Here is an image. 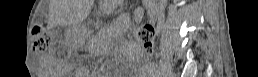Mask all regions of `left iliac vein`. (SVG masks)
I'll list each match as a JSON object with an SVG mask.
<instances>
[{
    "label": "left iliac vein",
    "mask_w": 258,
    "mask_h": 77,
    "mask_svg": "<svg viewBox=\"0 0 258 77\" xmlns=\"http://www.w3.org/2000/svg\"><path fill=\"white\" fill-rule=\"evenodd\" d=\"M169 76H170V77H173V76H174V73H173V72H170V73H169Z\"/></svg>",
    "instance_id": "4c4485c4"
}]
</instances>
